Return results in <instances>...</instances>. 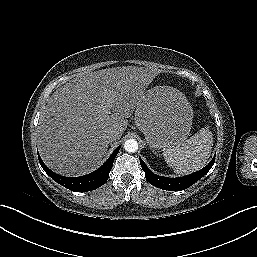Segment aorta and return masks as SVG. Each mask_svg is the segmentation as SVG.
Listing matches in <instances>:
<instances>
[{
    "instance_id": "762f6f07",
    "label": "aorta",
    "mask_w": 257,
    "mask_h": 257,
    "mask_svg": "<svg viewBox=\"0 0 257 257\" xmlns=\"http://www.w3.org/2000/svg\"><path fill=\"white\" fill-rule=\"evenodd\" d=\"M124 148L127 152H135L138 149V143L135 139L125 141Z\"/></svg>"
}]
</instances>
